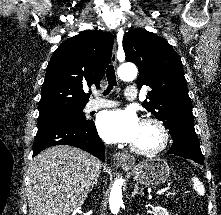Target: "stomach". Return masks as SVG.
<instances>
[{"instance_id":"stomach-1","label":"stomach","mask_w":221,"mask_h":215,"mask_svg":"<svg viewBox=\"0 0 221 215\" xmlns=\"http://www.w3.org/2000/svg\"><path fill=\"white\" fill-rule=\"evenodd\" d=\"M168 164L159 158L148 159L132 170L134 180L146 187L163 184L169 177Z\"/></svg>"}]
</instances>
